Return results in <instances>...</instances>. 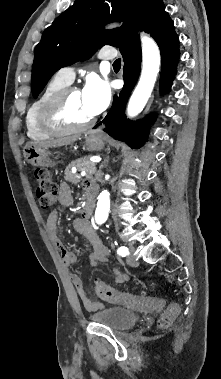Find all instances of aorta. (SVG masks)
<instances>
[{
    "label": "aorta",
    "instance_id": "aorta-1",
    "mask_svg": "<svg viewBox=\"0 0 221 379\" xmlns=\"http://www.w3.org/2000/svg\"><path fill=\"white\" fill-rule=\"evenodd\" d=\"M142 72L127 106V114L130 117L138 115L146 105L154 88L160 67V51L155 41L142 34ZM110 211V194L103 190L99 197L95 211V221L104 223Z\"/></svg>",
    "mask_w": 221,
    "mask_h": 379
}]
</instances>
